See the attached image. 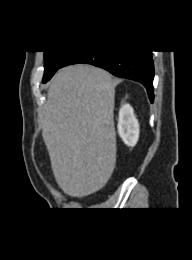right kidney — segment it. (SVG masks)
<instances>
[{"label": "right kidney", "instance_id": "1", "mask_svg": "<svg viewBox=\"0 0 192 260\" xmlns=\"http://www.w3.org/2000/svg\"><path fill=\"white\" fill-rule=\"evenodd\" d=\"M117 127L123 142L129 147L135 146L139 138V123L129 104L120 108Z\"/></svg>", "mask_w": 192, "mask_h": 260}]
</instances>
